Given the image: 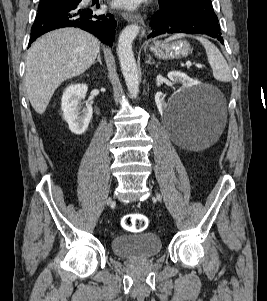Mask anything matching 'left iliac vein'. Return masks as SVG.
I'll return each mask as SVG.
<instances>
[{
  "label": "left iliac vein",
  "instance_id": "obj_1",
  "mask_svg": "<svg viewBox=\"0 0 267 301\" xmlns=\"http://www.w3.org/2000/svg\"><path fill=\"white\" fill-rule=\"evenodd\" d=\"M156 196L159 201H162V195L160 193L156 192Z\"/></svg>",
  "mask_w": 267,
  "mask_h": 301
}]
</instances>
